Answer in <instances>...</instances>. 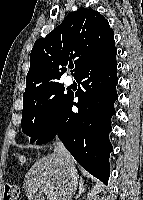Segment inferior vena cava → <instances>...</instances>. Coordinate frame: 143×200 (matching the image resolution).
Returning <instances> with one entry per match:
<instances>
[{
  "instance_id": "obj_1",
  "label": "inferior vena cava",
  "mask_w": 143,
  "mask_h": 200,
  "mask_svg": "<svg viewBox=\"0 0 143 200\" xmlns=\"http://www.w3.org/2000/svg\"><path fill=\"white\" fill-rule=\"evenodd\" d=\"M55 152L63 157V163L66 167L69 180L67 200H72L78 185V173L74 166V159L61 141L57 142Z\"/></svg>"
}]
</instances>
